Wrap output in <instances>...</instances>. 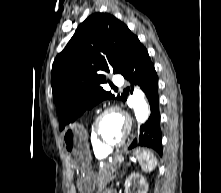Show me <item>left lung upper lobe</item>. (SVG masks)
<instances>
[{
    "label": "left lung upper lobe",
    "instance_id": "obj_1",
    "mask_svg": "<svg viewBox=\"0 0 221 193\" xmlns=\"http://www.w3.org/2000/svg\"><path fill=\"white\" fill-rule=\"evenodd\" d=\"M138 42L123 22L108 13H94L80 24L51 72L60 130L100 101L114 98L102 87L108 82L103 73L121 74Z\"/></svg>",
    "mask_w": 221,
    "mask_h": 193
}]
</instances>
